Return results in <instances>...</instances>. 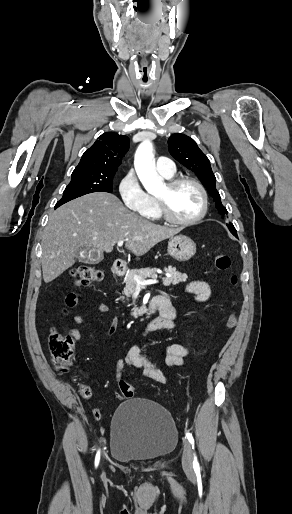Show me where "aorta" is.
Instances as JSON below:
<instances>
[{"mask_svg": "<svg viewBox=\"0 0 292 514\" xmlns=\"http://www.w3.org/2000/svg\"><path fill=\"white\" fill-rule=\"evenodd\" d=\"M152 150L151 142H142L135 154L134 162L136 174L149 194H154L163 184L162 178L155 172Z\"/></svg>", "mask_w": 292, "mask_h": 514, "instance_id": "obj_1", "label": "aorta"}]
</instances>
